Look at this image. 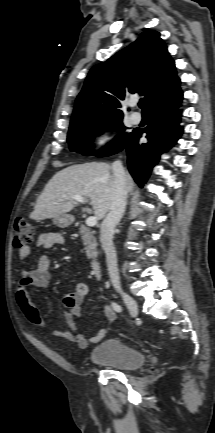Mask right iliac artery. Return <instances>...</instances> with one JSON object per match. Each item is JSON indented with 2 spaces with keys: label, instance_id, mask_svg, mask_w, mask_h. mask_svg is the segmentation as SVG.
<instances>
[{
  "label": "right iliac artery",
  "instance_id": "right-iliac-artery-1",
  "mask_svg": "<svg viewBox=\"0 0 215 433\" xmlns=\"http://www.w3.org/2000/svg\"><path fill=\"white\" fill-rule=\"evenodd\" d=\"M112 307H113V309L116 312H121L122 311V307L119 304L115 303V302L112 303Z\"/></svg>",
  "mask_w": 215,
  "mask_h": 433
}]
</instances>
